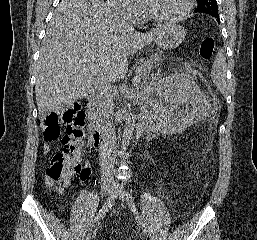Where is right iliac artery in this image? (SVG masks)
Listing matches in <instances>:
<instances>
[{
    "instance_id": "right-iliac-artery-1",
    "label": "right iliac artery",
    "mask_w": 257,
    "mask_h": 240,
    "mask_svg": "<svg viewBox=\"0 0 257 240\" xmlns=\"http://www.w3.org/2000/svg\"><path fill=\"white\" fill-rule=\"evenodd\" d=\"M118 192L114 190L110 197L108 198L107 202L104 204V206L100 209V211L97 213L95 218L93 219L91 225H90V230H92L96 224L109 212V210L112 208V206L115 203V199L117 197Z\"/></svg>"
}]
</instances>
